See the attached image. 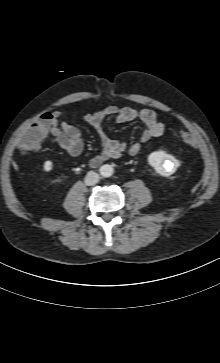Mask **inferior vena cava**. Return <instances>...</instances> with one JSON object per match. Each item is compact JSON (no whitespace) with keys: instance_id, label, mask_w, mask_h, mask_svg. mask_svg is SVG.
Wrapping results in <instances>:
<instances>
[{"instance_id":"1","label":"inferior vena cava","mask_w":220,"mask_h":363,"mask_svg":"<svg viewBox=\"0 0 220 363\" xmlns=\"http://www.w3.org/2000/svg\"><path fill=\"white\" fill-rule=\"evenodd\" d=\"M99 181V175L96 172L90 171L85 177V184L88 186L95 185Z\"/></svg>"}]
</instances>
